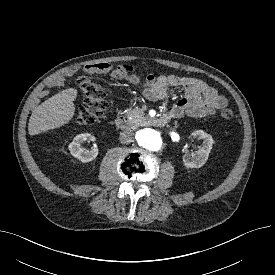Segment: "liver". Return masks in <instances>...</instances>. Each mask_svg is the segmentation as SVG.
Listing matches in <instances>:
<instances>
[{"label":"liver","instance_id":"1","mask_svg":"<svg viewBox=\"0 0 275 275\" xmlns=\"http://www.w3.org/2000/svg\"><path fill=\"white\" fill-rule=\"evenodd\" d=\"M77 89L68 88L33 109L28 123L30 135L59 128L68 124L75 115V104Z\"/></svg>","mask_w":275,"mask_h":275}]
</instances>
